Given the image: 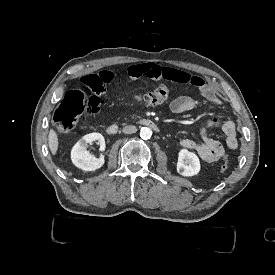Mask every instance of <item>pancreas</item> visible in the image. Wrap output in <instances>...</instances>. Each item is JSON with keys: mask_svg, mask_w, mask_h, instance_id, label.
<instances>
[{"mask_svg": "<svg viewBox=\"0 0 275 275\" xmlns=\"http://www.w3.org/2000/svg\"><path fill=\"white\" fill-rule=\"evenodd\" d=\"M131 118L135 119V118H139V116L136 113L131 114Z\"/></svg>", "mask_w": 275, "mask_h": 275, "instance_id": "cf45deb5", "label": "pancreas"}]
</instances>
